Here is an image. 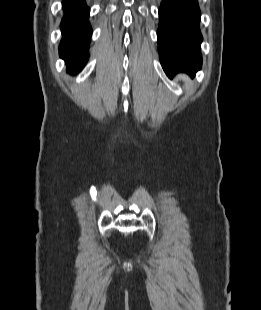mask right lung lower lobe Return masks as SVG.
I'll return each instance as SVG.
<instances>
[{
	"label": "right lung lower lobe",
	"instance_id": "98d812e1",
	"mask_svg": "<svg viewBox=\"0 0 261 310\" xmlns=\"http://www.w3.org/2000/svg\"><path fill=\"white\" fill-rule=\"evenodd\" d=\"M62 7L60 57L68 64L67 71L76 74L88 59L87 49L92 34L88 22L90 9L84 0H63Z\"/></svg>",
	"mask_w": 261,
	"mask_h": 310
}]
</instances>
